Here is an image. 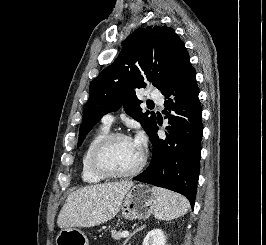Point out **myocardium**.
I'll list each match as a JSON object with an SVG mask.
<instances>
[{
    "label": "myocardium",
    "instance_id": "myocardium-1",
    "mask_svg": "<svg viewBox=\"0 0 266 245\" xmlns=\"http://www.w3.org/2000/svg\"><path fill=\"white\" fill-rule=\"evenodd\" d=\"M131 139L126 133L120 132V131H110L107 133L104 137H102L95 147L92 150L91 153V166L93 171L100 176L103 179H124V178H131L135 175H137L142 168L144 167L145 164V153L142 149H140V158L138 161V164L136 167L131 170L128 173H114L110 171L105 165H104V154L110 144L116 140V139ZM132 140V139H131Z\"/></svg>",
    "mask_w": 266,
    "mask_h": 245
}]
</instances>
